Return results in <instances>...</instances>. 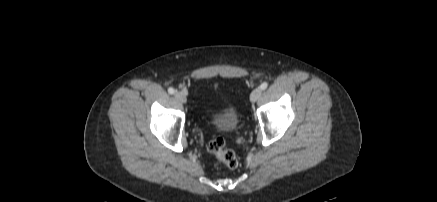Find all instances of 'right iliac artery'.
<instances>
[{
    "mask_svg": "<svg viewBox=\"0 0 437 202\" xmlns=\"http://www.w3.org/2000/svg\"><path fill=\"white\" fill-rule=\"evenodd\" d=\"M168 92H169L170 94H174V93H175V90H174V88L170 87V88H168Z\"/></svg>",
    "mask_w": 437,
    "mask_h": 202,
    "instance_id": "obj_1",
    "label": "right iliac artery"
}]
</instances>
